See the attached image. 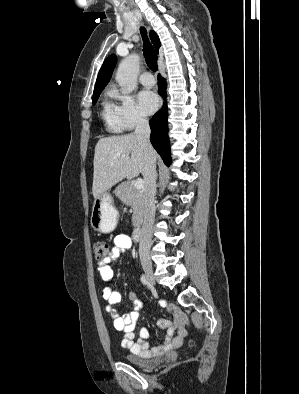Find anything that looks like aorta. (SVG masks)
Masks as SVG:
<instances>
[{
    "instance_id": "obj_1",
    "label": "aorta",
    "mask_w": 299,
    "mask_h": 394,
    "mask_svg": "<svg viewBox=\"0 0 299 394\" xmlns=\"http://www.w3.org/2000/svg\"><path fill=\"white\" fill-rule=\"evenodd\" d=\"M139 60L138 55H130L123 59L118 67L116 81L124 94L131 93L137 86Z\"/></svg>"
}]
</instances>
